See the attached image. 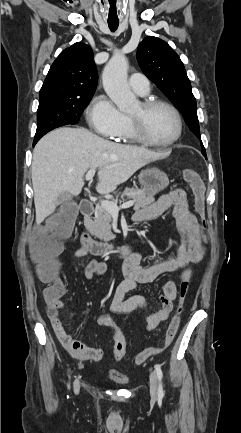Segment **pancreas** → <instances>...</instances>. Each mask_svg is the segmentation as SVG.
<instances>
[{
  "label": "pancreas",
  "instance_id": "pancreas-1",
  "mask_svg": "<svg viewBox=\"0 0 241 433\" xmlns=\"http://www.w3.org/2000/svg\"><path fill=\"white\" fill-rule=\"evenodd\" d=\"M125 197L134 201V210L147 207L155 201L152 195L147 194L142 189H126L121 194L120 199H113L111 202L117 204L119 201L125 200ZM111 222V214L102 206H98L88 230L95 238L109 242L115 239V235L111 232Z\"/></svg>",
  "mask_w": 241,
  "mask_h": 433
}]
</instances>
